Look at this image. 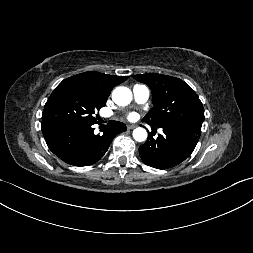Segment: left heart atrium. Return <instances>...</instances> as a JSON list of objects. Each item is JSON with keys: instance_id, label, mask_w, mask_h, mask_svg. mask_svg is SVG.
I'll return each instance as SVG.
<instances>
[{"instance_id": "1", "label": "left heart atrium", "mask_w": 253, "mask_h": 253, "mask_svg": "<svg viewBox=\"0 0 253 253\" xmlns=\"http://www.w3.org/2000/svg\"><path fill=\"white\" fill-rule=\"evenodd\" d=\"M127 118H128L129 120H135V119L137 118V114H136L135 112L129 113V114L127 115Z\"/></svg>"}]
</instances>
